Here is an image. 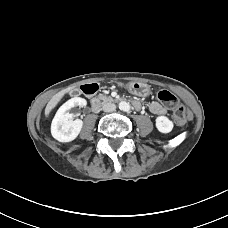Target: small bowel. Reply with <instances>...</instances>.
Segmentation results:
<instances>
[{"mask_svg":"<svg viewBox=\"0 0 228 228\" xmlns=\"http://www.w3.org/2000/svg\"><path fill=\"white\" fill-rule=\"evenodd\" d=\"M133 105L137 109L141 108V103L138 100H134ZM149 110L151 111V113H153L156 116H161L166 113V108L157 101H152L149 104Z\"/></svg>","mask_w":228,"mask_h":228,"instance_id":"1","label":"small bowel"}]
</instances>
